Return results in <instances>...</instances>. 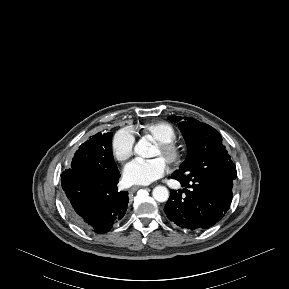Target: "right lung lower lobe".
Wrapping results in <instances>:
<instances>
[{"label":"right lung lower lobe","mask_w":289,"mask_h":289,"mask_svg":"<svg viewBox=\"0 0 289 289\" xmlns=\"http://www.w3.org/2000/svg\"><path fill=\"white\" fill-rule=\"evenodd\" d=\"M118 168L106 173L89 170H65L61 175L64 203L83 229L107 233L125 215L128 192L118 191Z\"/></svg>","instance_id":"1"}]
</instances>
